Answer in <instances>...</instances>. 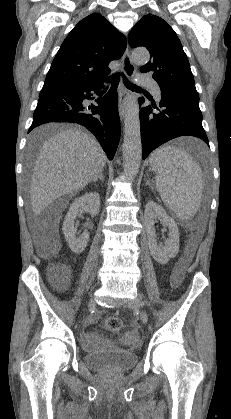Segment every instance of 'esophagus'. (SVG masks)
Masks as SVG:
<instances>
[{
  "mask_svg": "<svg viewBox=\"0 0 231 419\" xmlns=\"http://www.w3.org/2000/svg\"><path fill=\"white\" fill-rule=\"evenodd\" d=\"M122 69L125 76L128 79L132 78L136 71V67L130 57V51H129L128 46L122 57ZM128 97H129V92L124 86V83L121 82L119 86V103H118V111H119L121 120L124 119L125 114H126Z\"/></svg>",
  "mask_w": 231,
  "mask_h": 419,
  "instance_id": "1",
  "label": "esophagus"
}]
</instances>
